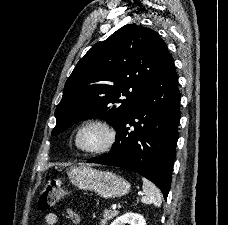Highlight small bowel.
<instances>
[{
	"label": "small bowel",
	"instance_id": "small-bowel-1",
	"mask_svg": "<svg viewBox=\"0 0 228 225\" xmlns=\"http://www.w3.org/2000/svg\"><path fill=\"white\" fill-rule=\"evenodd\" d=\"M66 216L73 225H78L80 223L79 215L72 209L66 210ZM45 225H57L58 215L54 212H49L44 216Z\"/></svg>",
	"mask_w": 228,
	"mask_h": 225
}]
</instances>
